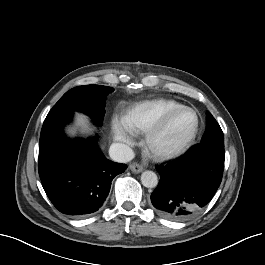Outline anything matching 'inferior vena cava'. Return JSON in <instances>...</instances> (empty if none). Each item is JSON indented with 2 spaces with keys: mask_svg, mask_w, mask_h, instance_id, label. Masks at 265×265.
Returning a JSON list of instances; mask_svg holds the SVG:
<instances>
[{
  "mask_svg": "<svg viewBox=\"0 0 265 265\" xmlns=\"http://www.w3.org/2000/svg\"><path fill=\"white\" fill-rule=\"evenodd\" d=\"M109 155L112 160L119 163H127L135 156L133 150L123 143L111 144L109 148Z\"/></svg>",
  "mask_w": 265,
  "mask_h": 265,
  "instance_id": "inferior-vena-cava-1",
  "label": "inferior vena cava"
}]
</instances>
